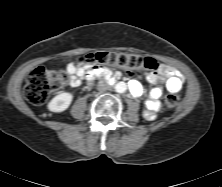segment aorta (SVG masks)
I'll return each instance as SVG.
<instances>
[{"instance_id":"1","label":"aorta","mask_w":222,"mask_h":187,"mask_svg":"<svg viewBox=\"0 0 222 187\" xmlns=\"http://www.w3.org/2000/svg\"><path fill=\"white\" fill-rule=\"evenodd\" d=\"M115 90L118 93H124L127 90V85L124 82H119L115 85Z\"/></svg>"}]
</instances>
